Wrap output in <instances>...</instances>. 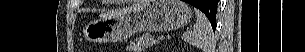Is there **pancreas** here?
<instances>
[{"label": "pancreas", "mask_w": 305, "mask_h": 52, "mask_svg": "<svg viewBox=\"0 0 305 52\" xmlns=\"http://www.w3.org/2000/svg\"><path fill=\"white\" fill-rule=\"evenodd\" d=\"M156 43L154 36L150 34H143L130 41L127 50L129 52H141L142 50L153 46Z\"/></svg>", "instance_id": "pancreas-1"}]
</instances>
